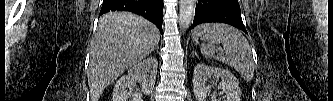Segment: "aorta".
Listing matches in <instances>:
<instances>
[{
	"label": "aorta",
	"mask_w": 333,
	"mask_h": 101,
	"mask_svg": "<svg viewBox=\"0 0 333 101\" xmlns=\"http://www.w3.org/2000/svg\"><path fill=\"white\" fill-rule=\"evenodd\" d=\"M196 0H180L179 24L180 29L185 31L195 12Z\"/></svg>",
	"instance_id": "1"
}]
</instances>
